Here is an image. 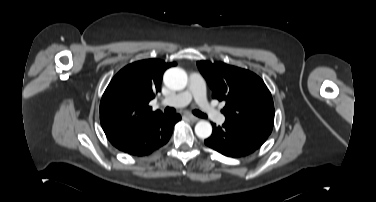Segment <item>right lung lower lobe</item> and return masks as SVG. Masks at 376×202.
Returning <instances> with one entry per match:
<instances>
[{
    "label": "right lung lower lobe",
    "mask_w": 376,
    "mask_h": 202,
    "mask_svg": "<svg viewBox=\"0 0 376 202\" xmlns=\"http://www.w3.org/2000/svg\"><path fill=\"white\" fill-rule=\"evenodd\" d=\"M180 119L179 114H160L109 141L128 154L147 155L168 142L175 123Z\"/></svg>",
    "instance_id": "98d812e1"
}]
</instances>
